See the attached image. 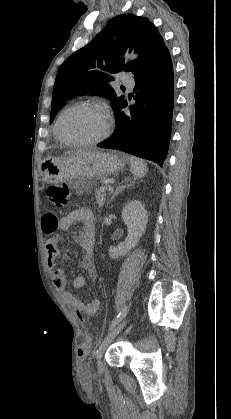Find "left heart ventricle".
<instances>
[{
	"label": "left heart ventricle",
	"mask_w": 231,
	"mask_h": 419,
	"mask_svg": "<svg viewBox=\"0 0 231 419\" xmlns=\"http://www.w3.org/2000/svg\"><path fill=\"white\" fill-rule=\"evenodd\" d=\"M106 127L105 116L91 109H78L69 113L62 122L63 132L73 139H92Z\"/></svg>",
	"instance_id": "left-heart-ventricle-1"
}]
</instances>
